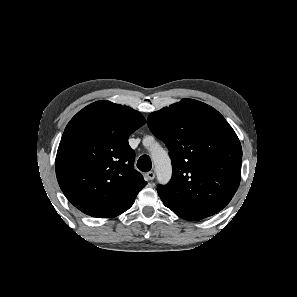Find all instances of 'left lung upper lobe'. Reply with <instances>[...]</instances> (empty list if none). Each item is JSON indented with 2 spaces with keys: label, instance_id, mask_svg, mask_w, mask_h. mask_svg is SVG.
<instances>
[{
  "label": "left lung upper lobe",
  "instance_id": "1",
  "mask_svg": "<svg viewBox=\"0 0 297 297\" xmlns=\"http://www.w3.org/2000/svg\"><path fill=\"white\" fill-rule=\"evenodd\" d=\"M153 134L169 149L173 174L159 185L166 207L191 220L222 210L234 196L241 179L240 141L213 107L183 99L148 116Z\"/></svg>",
  "mask_w": 297,
  "mask_h": 297
}]
</instances>
